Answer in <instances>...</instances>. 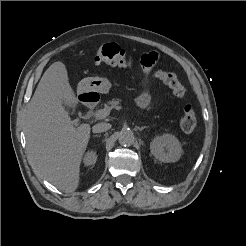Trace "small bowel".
Here are the masks:
<instances>
[{"label":"small bowel","mask_w":246,"mask_h":246,"mask_svg":"<svg viewBox=\"0 0 246 246\" xmlns=\"http://www.w3.org/2000/svg\"><path fill=\"white\" fill-rule=\"evenodd\" d=\"M158 58H159V54L156 52H152L143 56L142 62L146 69L147 75H149L151 68L157 62ZM151 104H152V98L148 90V78H147L145 89L137 98V105L141 109H148L151 106Z\"/></svg>","instance_id":"small-bowel-1"}]
</instances>
